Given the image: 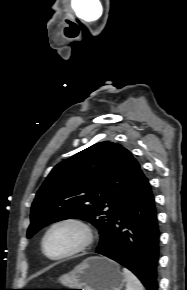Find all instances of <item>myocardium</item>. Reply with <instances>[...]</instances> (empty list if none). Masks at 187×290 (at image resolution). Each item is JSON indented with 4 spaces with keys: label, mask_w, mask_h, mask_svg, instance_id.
<instances>
[{
    "label": "myocardium",
    "mask_w": 187,
    "mask_h": 290,
    "mask_svg": "<svg viewBox=\"0 0 187 290\" xmlns=\"http://www.w3.org/2000/svg\"><path fill=\"white\" fill-rule=\"evenodd\" d=\"M62 226H70L76 228L81 233V241L80 243L71 249L70 251H67L61 255L58 256H52L48 254L46 251V241L49 237V235L57 228ZM94 241V231L91 227V225L84 219L76 216H69L64 217L61 219H58L54 221L45 231L42 240H41V248L44 253V255L51 259V260H63L70 257H73L75 255L80 254L81 252L87 250Z\"/></svg>",
    "instance_id": "obj_1"
}]
</instances>
